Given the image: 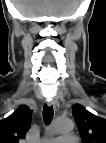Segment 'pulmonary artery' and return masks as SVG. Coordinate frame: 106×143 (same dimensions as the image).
Here are the masks:
<instances>
[{"label": "pulmonary artery", "instance_id": "1", "mask_svg": "<svg viewBox=\"0 0 106 143\" xmlns=\"http://www.w3.org/2000/svg\"><path fill=\"white\" fill-rule=\"evenodd\" d=\"M77 140V138L73 135H67L64 137H58V138H54L52 141L57 143V142H61V141H67V142H75Z\"/></svg>", "mask_w": 106, "mask_h": 143}]
</instances>
